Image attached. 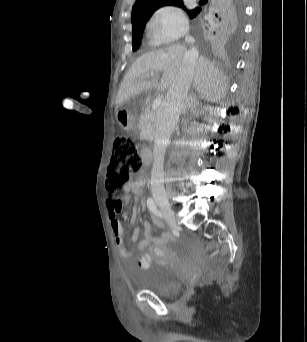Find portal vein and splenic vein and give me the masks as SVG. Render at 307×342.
Instances as JSON below:
<instances>
[{
  "label": "portal vein and splenic vein",
  "mask_w": 307,
  "mask_h": 342,
  "mask_svg": "<svg viewBox=\"0 0 307 342\" xmlns=\"http://www.w3.org/2000/svg\"><path fill=\"white\" fill-rule=\"evenodd\" d=\"M147 76H155V74H147ZM162 94H157L155 98H153L152 102L149 104L151 109H158L160 107V103L163 100Z\"/></svg>",
  "instance_id": "obj_1"
}]
</instances>
